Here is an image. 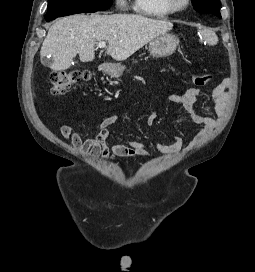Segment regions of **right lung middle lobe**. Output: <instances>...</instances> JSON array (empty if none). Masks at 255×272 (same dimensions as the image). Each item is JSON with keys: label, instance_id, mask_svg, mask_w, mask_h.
<instances>
[{"label": "right lung middle lobe", "instance_id": "1", "mask_svg": "<svg viewBox=\"0 0 255 272\" xmlns=\"http://www.w3.org/2000/svg\"><path fill=\"white\" fill-rule=\"evenodd\" d=\"M112 0H50L45 19L107 10Z\"/></svg>", "mask_w": 255, "mask_h": 272}]
</instances>
